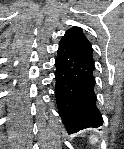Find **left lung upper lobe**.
I'll return each instance as SVG.
<instances>
[{"label": "left lung upper lobe", "instance_id": "obj_1", "mask_svg": "<svg viewBox=\"0 0 124 149\" xmlns=\"http://www.w3.org/2000/svg\"><path fill=\"white\" fill-rule=\"evenodd\" d=\"M64 37L93 59L92 45L80 27L75 26L67 30Z\"/></svg>", "mask_w": 124, "mask_h": 149}]
</instances>
